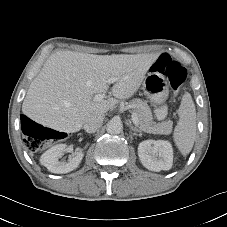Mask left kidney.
I'll return each mask as SVG.
<instances>
[{"label":"left kidney","instance_id":"1","mask_svg":"<svg viewBox=\"0 0 227 227\" xmlns=\"http://www.w3.org/2000/svg\"><path fill=\"white\" fill-rule=\"evenodd\" d=\"M138 156L151 171L169 170L173 164V149L168 141L145 140L138 146Z\"/></svg>","mask_w":227,"mask_h":227}]
</instances>
